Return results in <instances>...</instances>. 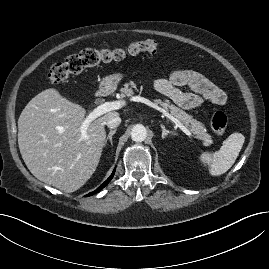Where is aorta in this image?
I'll use <instances>...</instances> for the list:
<instances>
[{
	"label": "aorta",
	"mask_w": 269,
	"mask_h": 269,
	"mask_svg": "<svg viewBox=\"0 0 269 269\" xmlns=\"http://www.w3.org/2000/svg\"><path fill=\"white\" fill-rule=\"evenodd\" d=\"M146 137H147V130L143 125L137 124L132 128L131 138L133 141L142 142L146 139Z\"/></svg>",
	"instance_id": "obj_1"
}]
</instances>
